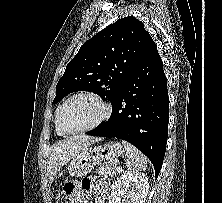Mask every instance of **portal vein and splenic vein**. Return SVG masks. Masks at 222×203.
I'll return each mask as SVG.
<instances>
[{
  "instance_id": "obj_1",
  "label": "portal vein and splenic vein",
  "mask_w": 222,
  "mask_h": 203,
  "mask_svg": "<svg viewBox=\"0 0 222 203\" xmlns=\"http://www.w3.org/2000/svg\"><path fill=\"white\" fill-rule=\"evenodd\" d=\"M121 170V168H118V171H120Z\"/></svg>"
}]
</instances>
